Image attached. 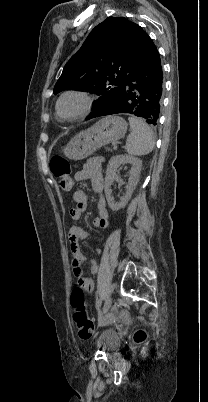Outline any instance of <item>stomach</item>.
<instances>
[{"label":"stomach","mask_w":208,"mask_h":402,"mask_svg":"<svg viewBox=\"0 0 208 402\" xmlns=\"http://www.w3.org/2000/svg\"><path fill=\"white\" fill-rule=\"evenodd\" d=\"M127 124L120 116H106L94 124L92 128L74 136L63 150L69 160H84L96 150L124 138Z\"/></svg>","instance_id":"0dacf381"}]
</instances>
